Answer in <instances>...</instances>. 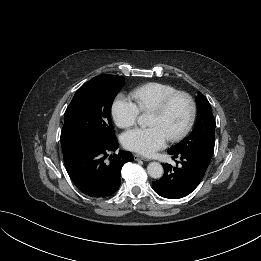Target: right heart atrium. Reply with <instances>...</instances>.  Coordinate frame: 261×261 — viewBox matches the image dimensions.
<instances>
[{"mask_svg":"<svg viewBox=\"0 0 261 261\" xmlns=\"http://www.w3.org/2000/svg\"><path fill=\"white\" fill-rule=\"evenodd\" d=\"M140 108L135 101L125 95H119L112 105V117L120 128L133 126L140 115Z\"/></svg>","mask_w":261,"mask_h":261,"instance_id":"right-heart-atrium-1","label":"right heart atrium"}]
</instances>
